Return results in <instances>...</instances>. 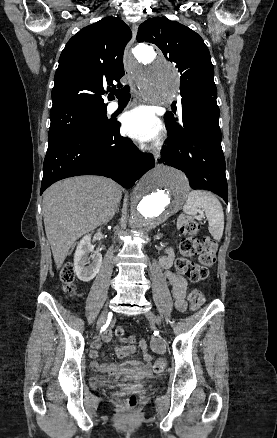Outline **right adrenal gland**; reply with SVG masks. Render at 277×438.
<instances>
[{
    "mask_svg": "<svg viewBox=\"0 0 277 438\" xmlns=\"http://www.w3.org/2000/svg\"><path fill=\"white\" fill-rule=\"evenodd\" d=\"M117 212H119V208H117V210H116V214H117Z\"/></svg>",
    "mask_w": 277,
    "mask_h": 438,
    "instance_id": "1",
    "label": "right adrenal gland"
}]
</instances>
